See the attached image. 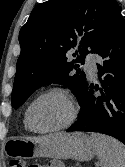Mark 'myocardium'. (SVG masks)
Instances as JSON below:
<instances>
[{"instance_id": "f54148a6", "label": "myocardium", "mask_w": 125, "mask_h": 167, "mask_svg": "<svg viewBox=\"0 0 125 167\" xmlns=\"http://www.w3.org/2000/svg\"><path fill=\"white\" fill-rule=\"evenodd\" d=\"M51 95L59 96L65 101V103L68 107V115H67L66 119L61 124H59L55 127H51V128L43 129V130L34 129L30 123L31 110H32L33 106L39 100H41L47 96H51ZM76 116H77V107H76V104H75V101H74L72 95L70 94V92L68 90L61 88V87H52V88H49V89L43 91L42 93H40L38 96H36L30 102V104L28 105V107L25 111V119H26L28 129L31 130L32 132H35L38 134H48V133H53V132L63 130L65 128L69 127L74 122V120L76 119Z\"/></svg>"}]
</instances>
